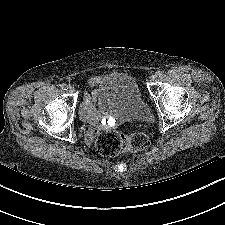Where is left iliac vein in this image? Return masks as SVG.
<instances>
[{
    "label": "left iliac vein",
    "mask_w": 225,
    "mask_h": 225,
    "mask_svg": "<svg viewBox=\"0 0 225 225\" xmlns=\"http://www.w3.org/2000/svg\"><path fill=\"white\" fill-rule=\"evenodd\" d=\"M156 76L155 75H151L150 77H149V80L151 81V82H155L156 81Z\"/></svg>",
    "instance_id": "left-iliac-vein-1"
}]
</instances>
